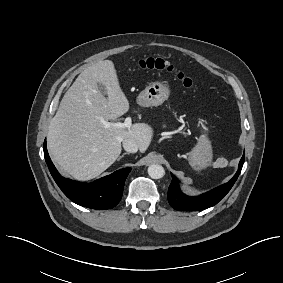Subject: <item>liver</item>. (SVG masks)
Masks as SVG:
<instances>
[{
	"instance_id": "obj_1",
	"label": "liver",
	"mask_w": 283,
	"mask_h": 283,
	"mask_svg": "<svg viewBox=\"0 0 283 283\" xmlns=\"http://www.w3.org/2000/svg\"><path fill=\"white\" fill-rule=\"evenodd\" d=\"M103 85L107 97L98 86ZM129 110L114 63L99 61L85 69L64 94L51 119L47 145L57 167L77 180H90L109 168L121 153V142L134 139L143 153L153 129L135 123L130 129L105 127L101 119L116 121ZM115 123V122H110Z\"/></svg>"
}]
</instances>
